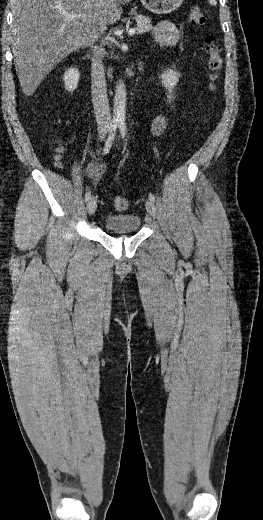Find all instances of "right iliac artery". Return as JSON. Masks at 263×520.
<instances>
[{"label": "right iliac artery", "instance_id": "1", "mask_svg": "<svg viewBox=\"0 0 263 520\" xmlns=\"http://www.w3.org/2000/svg\"><path fill=\"white\" fill-rule=\"evenodd\" d=\"M118 125H119V121H113L111 128H110L109 136L104 145L103 155H106L107 153H109V151L112 147L115 135H116V129H117ZM90 198H91V192L88 190L85 194V200L88 201Z\"/></svg>", "mask_w": 263, "mask_h": 520}]
</instances>
